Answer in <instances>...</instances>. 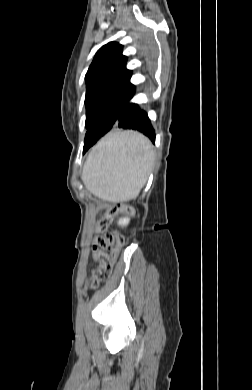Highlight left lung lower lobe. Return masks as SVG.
Here are the masks:
<instances>
[{"mask_svg": "<svg viewBox=\"0 0 252 390\" xmlns=\"http://www.w3.org/2000/svg\"><path fill=\"white\" fill-rule=\"evenodd\" d=\"M84 141L83 153L97 142L104 134L111 129L122 128L132 129L142 132L155 143V131L151 125L147 112L142 110L138 104L128 102L118 114H105L92 120L87 126Z\"/></svg>", "mask_w": 252, "mask_h": 390, "instance_id": "1", "label": "left lung lower lobe"}]
</instances>
